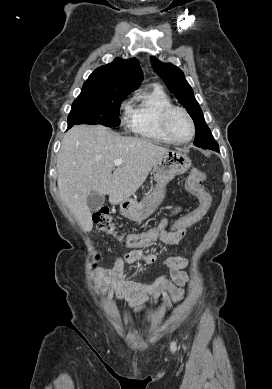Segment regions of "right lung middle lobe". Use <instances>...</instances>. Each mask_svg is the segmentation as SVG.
<instances>
[{"instance_id":"dd1d6c3e","label":"right lung middle lobe","mask_w":272,"mask_h":389,"mask_svg":"<svg viewBox=\"0 0 272 389\" xmlns=\"http://www.w3.org/2000/svg\"><path fill=\"white\" fill-rule=\"evenodd\" d=\"M129 92L115 89L83 86L73 102L68 116V126L75 124H102L117 127L120 124L119 109Z\"/></svg>"}]
</instances>
